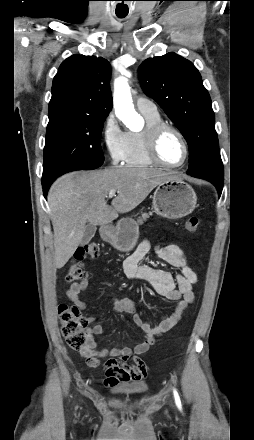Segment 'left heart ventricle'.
I'll return each instance as SVG.
<instances>
[{
	"label": "left heart ventricle",
	"mask_w": 254,
	"mask_h": 440,
	"mask_svg": "<svg viewBox=\"0 0 254 440\" xmlns=\"http://www.w3.org/2000/svg\"><path fill=\"white\" fill-rule=\"evenodd\" d=\"M159 154L163 161L176 165L184 158V148L180 138L172 131H166L159 141Z\"/></svg>",
	"instance_id": "left-heart-ventricle-1"
}]
</instances>
